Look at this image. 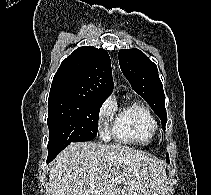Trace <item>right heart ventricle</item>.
<instances>
[{"instance_id": "right-heart-ventricle-1", "label": "right heart ventricle", "mask_w": 211, "mask_h": 195, "mask_svg": "<svg viewBox=\"0 0 211 195\" xmlns=\"http://www.w3.org/2000/svg\"><path fill=\"white\" fill-rule=\"evenodd\" d=\"M114 121L111 135L130 144L148 145L154 139L157 122L151 111L139 102H132L117 110L111 105Z\"/></svg>"}]
</instances>
